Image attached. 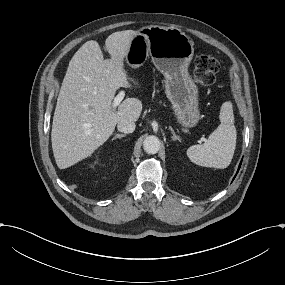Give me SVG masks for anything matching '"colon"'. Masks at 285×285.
Segmentation results:
<instances>
[{"label":"colon","mask_w":285,"mask_h":285,"mask_svg":"<svg viewBox=\"0 0 285 285\" xmlns=\"http://www.w3.org/2000/svg\"><path fill=\"white\" fill-rule=\"evenodd\" d=\"M219 66L220 62L218 58L210 54L197 57L194 68L195 81L204 88L212 87L215 83Z\"/></svg>","instance_id":"colon-1"}]
</instances>
